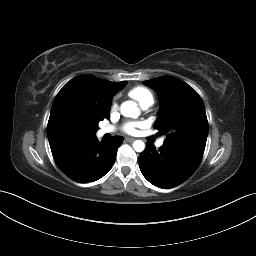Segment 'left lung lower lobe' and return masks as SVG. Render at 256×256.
Returning <instances> with one entry per match:
<instances>
[{
	"label": "left lung lower lobe",
	"instance_id": "1",
	"mask_svg": "<svg viewBox=\"0 0 256 256\" xmlns=\"http://www.w3.org/2000/svg\"><path fill=\"white\" fill-rule=\"evenodd\" d=\"M200 161L174 149L155 146L147 142L139 157L143 176L153 185L170 189L186 181L197 169Z\"/></svg>",
	"mask_w": 256,
	"mask_h": 256
}]
</instances>
